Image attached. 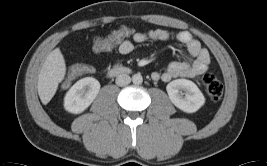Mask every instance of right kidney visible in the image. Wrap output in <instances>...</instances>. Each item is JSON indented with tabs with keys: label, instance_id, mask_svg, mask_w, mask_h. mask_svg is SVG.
<instances>
[{
	"label": "right kidney",
	"instance_id": "ca27d5eb",
	"mask_svg": "<svg viewBox=\"0 0 267 166\" xmlns=\"http://www.w3.org/2000/svg\"><path fill=\"white\" fill-rule=\"evenodd\" d=\"M100 83L93 77H85L77 81L64 98V107L68 112H83L96 98Z\"/></svg>",
	"mask_w": 267,
	"mask_h": 166
}]
</instances>
